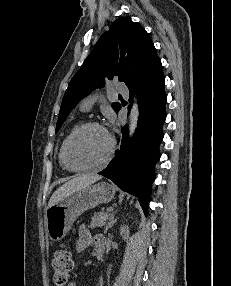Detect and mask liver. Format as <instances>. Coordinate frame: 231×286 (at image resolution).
Listing matches in <instances>:
<instances>
[{"label":"liver","mask_w":231,"mask_h":286,"mask_svg":"<svg viewBox=\"0 0 231 286\" xmlns=\"http://www.w3.org/2000/svg\"><path fill=\"white\" fill-rule=\"evenodd\" d=\"M101 179L99 175H94V174H87V175H81L78 176L62 186H60L51 196L49 202H48V207H51L55 205L56 203L60 202L63 200L65 197L69 196L73 192L82 189L84 187H87L91 185L92 183L98 181Z\"/></svg>","instance_id":"liver-1"}]
</instances>
